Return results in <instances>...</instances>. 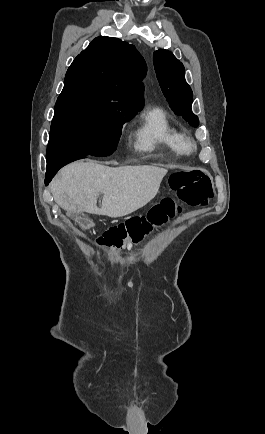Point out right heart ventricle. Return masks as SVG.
Masks as SVG:
<instances>
[{
    "label": "right heart ventricle",
    "mask_w": 265,
    "mask_h": 434,
    "mask_svg": "<svg viewBox=\"0 0 265 434\" xmlns=\"http://www.w3.org/2000/svg\"><path fill=\"white\" fill-rule=\"evenodd\" d=\"M136 148L141 151L160 152L173 161H182L183 131L176 127L167 111L156 104H151L137 112Z\"/></svg>",
    "instance_id": "1"
}]
</instances>
